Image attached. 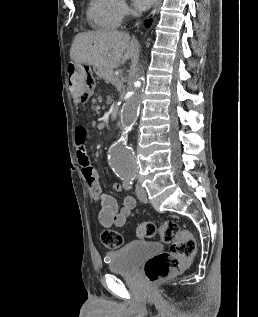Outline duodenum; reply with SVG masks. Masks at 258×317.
Wrapping results in <instances>:
<instances>
[{
    "label": "duodenum",
    "instance_id": "duodenum-1",
    "mask_svg": "<svg viewBox=\"0 0 258 317\" xmlns=\"http://www.w3.org/2000/svg\"><path fill=\"white\" fill-rule=\"evenodd\" d=\"M82 79V70L76 65H68L67 67V82L69 89L72 92H78Z\"/></svg>",
    "mask_w": 258,
    "mask_h": 317
}]
</instances>
